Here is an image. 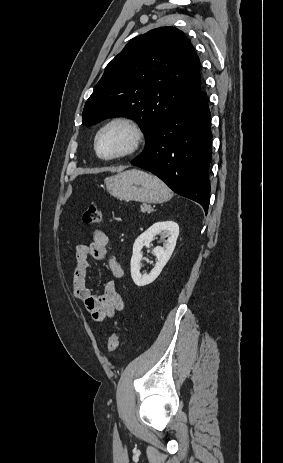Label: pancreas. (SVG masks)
<instances>
[{"label":"pancreas","mask_w":283,"mask_h":463,"mask_svg":"<svg viewBox=\"0 0 283 463\" xmlns=\"http://www.w3.org/2000/svg\"><path fill=\"white\" fill-rule=\"evenodd\" d=\"M140 211L141 212H148V213H151L152 212V209L149 205H146V204H143L140 206Z\"/></svg>","instance_id":"pancreas-1"}]
</instances>
